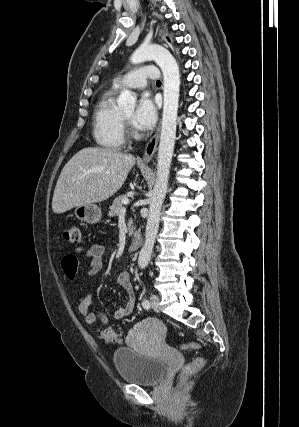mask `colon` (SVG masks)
Instances as JSON below:
<instances>
[{
  "label": "colon",
  "instance_id": "5ec220e1",
  "mask_svg": "<svg viewBox=\"0 0 299 427\" xmlns=\"http://www.w3.org/2000/svg\"><path fill=\"white\" fill-rule=\"evenodd\" d=\"M64 239L67 243L71 245H78L81 241V232L80 227L73 225L65 230ZM99 336L107 342L111 343H122L124 341V336L107 327H100L98 329ZM185 350H194L198 349L199 345L197 343H188L183 346ZM204 366V359L201 357H196L191 362L187 363L181 372V381L194 376L198 373Z\"/></svg>",
  "mask_w": 299,
  "mask_h": 427
}]
</instances>
